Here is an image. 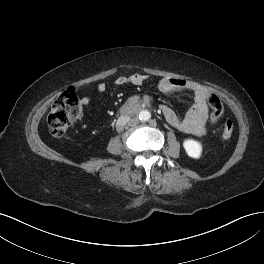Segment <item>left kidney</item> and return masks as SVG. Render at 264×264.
<instances>
[{
    "label": "left kidney",
    "mask_w": 264,
    "mask_h": 264,
    "mask_svg": "<svg viewBox=\"0 0 264 264\" xmlns=\"http://www.w3.org/2000/svg\"><path fill=\"white\" fill-rule=\"evenodd\" d=\"M183 147L187 153L188 156L194 159H198L201 156L202 153V146L199 142L187 139L183 142Z\"/></svg>",
    "instance_id": "5707ae66"
}]
</instances>
